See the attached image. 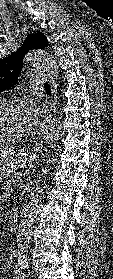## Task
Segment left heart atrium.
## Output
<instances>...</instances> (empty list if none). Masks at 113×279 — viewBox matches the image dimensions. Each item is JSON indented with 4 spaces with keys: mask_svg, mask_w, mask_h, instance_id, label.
I'll use <instances>...</instances> for the list:
<instances>
[{
    "mask_svg": "<svg viewBox=\"0 0 113 279\" xmlns=\"http://www.w3.org/2000/svg\"><path fill=\"white\" fill-rule=\"evenodd\" d=\"M25 120L27 127L32 128L38 121V110L35 104L28 103L24 106Z\"/></svg>",
    "mask_w": 113,
    "mask_h": 279,
    "instance_id": "left-heart-atrium-1",
    "label": "left heart atrium"
}]
</instances>
